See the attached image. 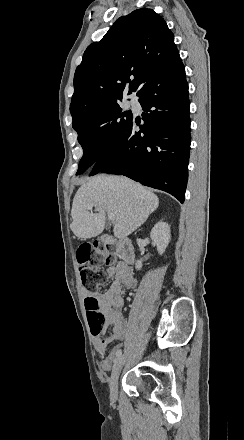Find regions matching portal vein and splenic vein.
Wrapping results in <instances>:
<instances>
[{"label":"portal vein and splenic vein","instance_id":"1","mask_svg":"<svg viewBox=\"0 0 244 440\" xmlns=\"http://www.w3.org/2000/svg\"><path fill=\"white\" fill-rule=\"evenodd\" d=\"M88 210H92V206H88ZM108 220H110V222H114L115 220L114 214H108Z\"/></svg>","mask_w":244,"mask_h":440}]
</instances>
